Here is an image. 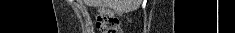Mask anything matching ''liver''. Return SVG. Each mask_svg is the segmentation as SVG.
Segmentation results:
<instances>
[{"label":"liver","mask_w":235,"mask_h":33,"mask_svg":"<svg viewBox=\"0 0 235 33\" xmlns=\"http://www.w3.org/2000/svg\"><path fill=\"white\" fill-rule=\"evenodd\" d=\"M85 3L89 6L111 8L129 13L139 7L140 0H85Z\"/></svg>","instance_id":"6515ba94"}]
</instances>
